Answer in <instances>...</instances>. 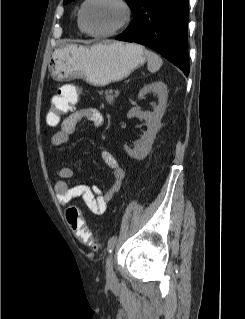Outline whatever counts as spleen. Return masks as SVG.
I'll use <instances>...</instances> for the list:
<instances>
[{
	"label": "spleen",
	"mask_w": 245,
	"mask_h": 319,
	"mask_svg": "<svg viewBox=\"0 0 245 319\" xmlns=\"http://www.w3.org/2000/svg\"><path fill=\"white\" fill-rule=\"evenodd\" d=\"M144 53L147 57V67L148 70L152 73L158 71L163 64V61L159 55L156 53L149 51L147 49L144 50Z\"/></svg>",
	"instance_id": "spleen-1"
}]
</instances>
